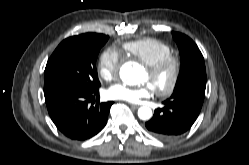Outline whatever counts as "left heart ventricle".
Returning <instances> with one entry per match:
<instances>
[{"instance_id":"b2bd125f","label":"left heart ventricle","mask_w":249,"mask_h":165,"mask_svg":"<svg viewBox=\"0 0 249 165\" xmlns=\"http://www.w3.org/2000/svg\"><path fill=\"white\" fill-rule=\"evenodd\" d=\"M141 79L142 80H150V77H149V74L147 72V70L145 69L142 73V76H141ZM151 81V80H150Z\"/></svg>"}]
</instances>
